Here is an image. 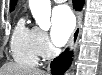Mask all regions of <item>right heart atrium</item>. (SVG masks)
<instances>
[{
	"label": "right heart atrium",
	"instance_id": "obj_1",
	"mask_svg": "<svg viewBox=\"0 0 102 75\" xmlns=\"http://www.w3.org/2000/svg\"><path fill=\"white\" fill-rule=\"evenodd\" d=\"M36 48L39 57L47 59L52 54V46L46 32L37 29Z\"/></svg>",
	"mask_w": 102,
	"mask_h": 75
}]
</instances>
